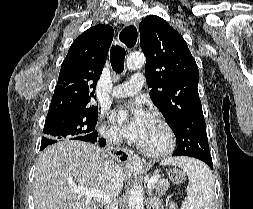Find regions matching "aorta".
I'll return each mask as SVG.
<instances>
[{"label": "aorta", "mask_w": 253, "mask_h": 209, "mask_svg": "<svg viewBox=\"0 0 253 209\" xmlns=\"http://www.w3.org/2000/svg\"><path fill=\"white\" fill-rule=\"evenodd\" d=\"M145 64V56L142 53H132L126 61L127 69L137 70ZM129 209H144L143 189L140 185L132 187L129 194Z\"/></svg>", "instance_id": "1"}]
</instances>
